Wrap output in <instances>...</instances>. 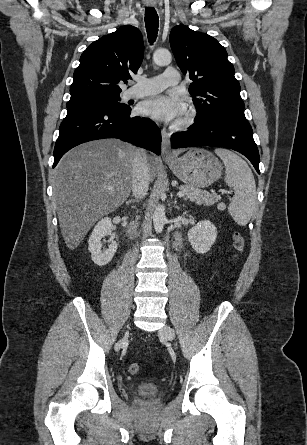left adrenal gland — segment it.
<instances>
[{
  "label": "left adrenal gland",
  "instance_id": "obj_1",
  "mask_svg": "<svg viewBox=\"0 0 307 445\" xmlns=\"http://www.w3.org/2000/svg\"><path fill=\"white\" fill-rule=\"evenodd\" d=\"M175 208H180V206H177V204H174Z\"/></svg>",
  "mask_w": 307,
  "mask_h": 445
}]
</instances>
